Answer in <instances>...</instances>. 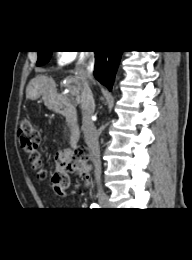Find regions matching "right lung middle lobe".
Wrapping results in <instances>:
<instances>
[{"label":"right lung middle lobe","instance_id":"obj_1","mask_svg":"<svg viewBox=\"0 0 192 260\" xmlns=\"http://www.w3.org/2000/svg\"><path fill=\"white\" fill-rule=\"evenodd\" d=\"M51 52L52 51H38V60L36 65L41 66L46 64L51 57Z\"/></svg>","mask_w":192,"mask_h":260}]
</instances>
